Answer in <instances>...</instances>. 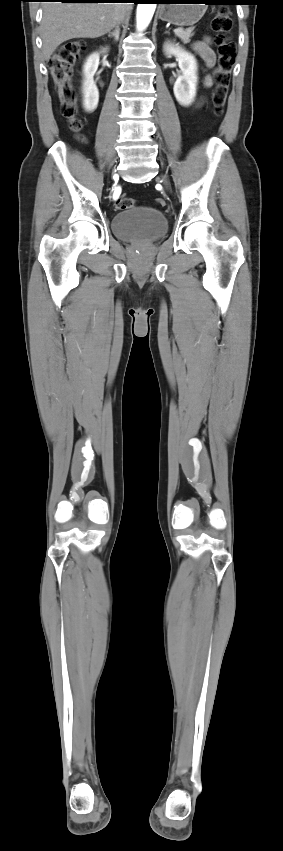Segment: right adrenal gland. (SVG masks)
I'll return each instance as SVG.
<instances>
[{"label":"right adrenal gland","mask_w":283,"mask_h":851,"mask_svg":"<svg viewBox=\"0 0 283 851\" xmlns=\"http://www.w3.org/2000/svg\"><path fill=\"white\" fill-rule=\"evenodd\" d=\"M119 36H120V29H119V27H117V28H116V30H115L114 32H110V33L108 34V37H110V38H114V40H115L116 42L119 40Z\"/></svg>","instance_id":"2a0ac1e0"}]
</instances>
